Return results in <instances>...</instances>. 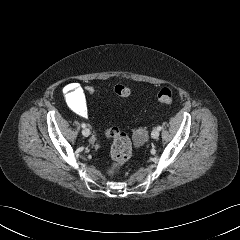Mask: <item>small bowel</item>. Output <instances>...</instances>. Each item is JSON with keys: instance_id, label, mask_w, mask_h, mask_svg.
<instances>
[{"instance_id": "1", "label": "small bowel", "mask_w": 240, "mask_h": 240, "mask_svg": "<svg viewBox=\"0 0 240 240\" xmlns=\"http://www.w3.org/2000/svg\"><path fill=\"white\" fill-rule=\"evenodd\" d=\"M63 93L65 100L72 111L82 117H86L88 115V108L83 87H81L78 83H70L65 86ZM147 138L148 132L145 128L140 127L134 130L133 141L136 146L143 145L147 141ZM91 142L95 143V138H93ZM96 147H99V145L96 144Z\"/></svg>"}]
</instances>
